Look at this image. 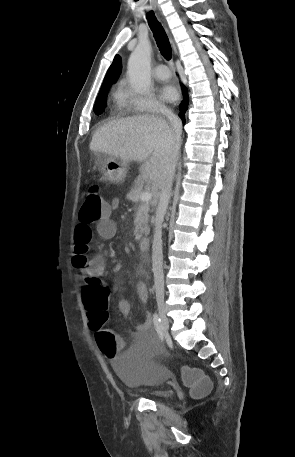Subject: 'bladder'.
<instances>
[{
    "label": "bladder",
    "instance_id": "obj_1",
    "mask_svg": "<svg viewBox=\"0 0 295 457\" xmlns=\"http://www.w3.org/2000/svg\"><path fill=\"white\" fill-rule=\"evenodd\" d=\"M138 347L127 357L115 363V371L120 380L129 388H144L155 399L168 397V392L161 388L169 377V365L157 364V357L151 347L156 346L155 338H138Z\"/></svg>",
    "mask_w": 295,
    "mask_h": 457
}]
</instances>
